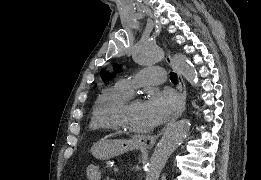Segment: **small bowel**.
<instances>
[{
    "instance_id": "small-bowel-1",
    "label": "small bowel",
    "mask_w": 261,
    "mask_h": 180,
    "mask_svg": "<svg viewBox=\"0 0 261 180\" xmlns=\"http://www.w3.org/2000/svg\"><path fill=\"white\" fill-rule=\"evenodd\" d=\"M86 177L88 180H100L101 179V173L99 168L96 165H89L86 168Z\"/></svg>"
}]
</instances>
